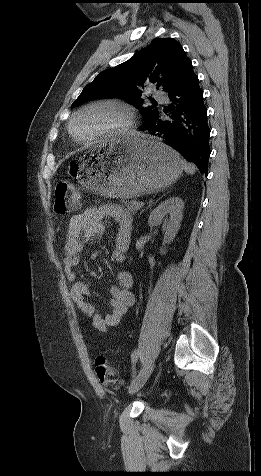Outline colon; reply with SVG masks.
I'll use <instances>...</instances> for the list:
<instances>
[{
	"label": "colon",
	"instance_id": "1",
	"mask_svg": "<svg viewBox=\"0 0 261 476\" xmlns=\"http://www.w3.org/2000/svg\"><path fill=\"white\" fill-rule=\"evenodd\" d=\"M80 204L79 195L72 183L62 181L56 186L54 212L58 215H66L77 209ZM95 372L98 380L106 386H114L119 382L116 369L104 356H98L95 360Z\"/></svg>",
	"mask_w": 261,
	"mask_h": 476
}]
</instances>
